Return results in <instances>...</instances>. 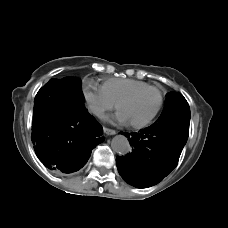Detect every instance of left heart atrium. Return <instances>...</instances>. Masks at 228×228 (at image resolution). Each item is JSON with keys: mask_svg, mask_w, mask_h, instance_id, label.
Here are the masks:
<instances>
[{"mask_svg": "<svg viewBox=\"0 0 228 228\" xmlns=\"http://www.w3.org/2000/svg\"><path fill=\"white\" fill-rule=\"evenodd\" d=\"M117 118L120 122L127 123L128 119L126 116L120 111V113L117 114Z\"/></svg>", "mask_w": 228, "mask_h": 228, "instance_id": "39dd6f15", "label": "left heart atrium"}]
</instances>
